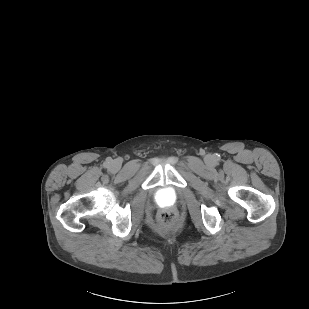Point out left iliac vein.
<instances>
[{"label": "left iliac vein", "mask_w": 309, "mask_h": 309, "mask_svg": "<svg viewBox=\"0 0 309 309\" xmlns=\"http://www.w3.org/2000/svg\"><path fill=\"white\" fill-rule=\"evenodd\" d=\"M207 161H208V162H211V158L209 157V158L207 159Z\"/></svg>", "instance_id": "1"}]
</instances>
